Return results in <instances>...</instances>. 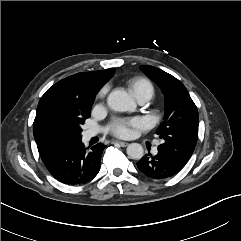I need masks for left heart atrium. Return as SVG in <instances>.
Instances as JSON below:
<instances>
[{
	"instance_id": "left-heart-atrium-1",
	"label": "left heart atrium",
	"mask_w": 241,
	"mask_h": 241,
	"mask_svg": "<svg viewBox=\"0 0 241 241\" xmlns=\"http://www.w3.org/2000/svg\"><path fill=\"white\" fill-rule=\"evenodd\" d=\"M145 121L142 118H133L129 120H115L110 125V131L117 137L128 138L132 134L133 128H143Z\"/></svg>"
}]
</instances>
